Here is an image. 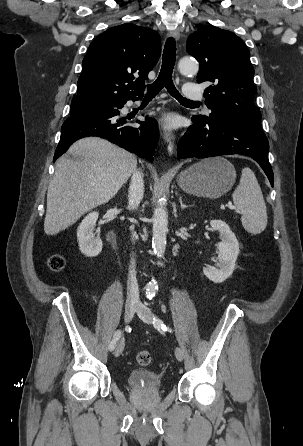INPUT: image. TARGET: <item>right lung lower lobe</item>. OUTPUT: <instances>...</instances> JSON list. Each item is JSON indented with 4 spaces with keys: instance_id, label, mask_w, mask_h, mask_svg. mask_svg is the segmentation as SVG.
I'll return each mask as SVG.
<instances>
[{
    "instance_id": "98d812e1",
    "label": "right lung lower lobe",
    "mask_w": 303,
    "mask_h": 446,
    "mask_svg": "<svg viewBox=\"0 0 303 446\" xmlns=\"http://www.w3.org/2000/svg\"><path fill=\"white\" fill-rule=\"evenodd\" d=\"M141 97L131 100L135 101ZM124 104L70 115L62 125L61 137L53 161L55 162L65 153L73 142L88 136L105 138L139 157H146L153 161L159 136L157 123L147 118L145 122L137 121L141 124L139 128L127 125L131 118L119 116V109Z\"/></svg>"
}]
</instances>
